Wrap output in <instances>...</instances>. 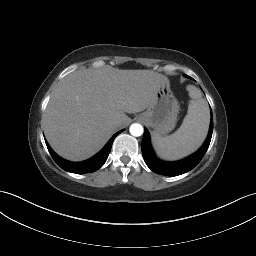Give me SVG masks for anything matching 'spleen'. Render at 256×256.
Returning a JSON list of instances; mask_svg holds the SVG:
<instances>
[{"mask_svg":"<svg viewBox=\"0 0 256 256\" xmlns=\"http://www.w3.org/2000/svg\"><path fill=\"white\" fill-rule=\"evenodd\" d=\"M189 101L187 115L180 128L170 136L152 135L156 153L165 160H177L196 151L206 138L210 114L207 102L195 86L188 87Z\"/></svg>","mask_w":256,"mask_h":256,"instance_id":"3e777b00","label":"spleen"}]
</instances>
